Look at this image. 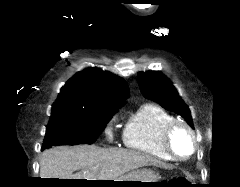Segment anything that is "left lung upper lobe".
<instances>
[{
	"label": "left lung upper lobe",
	"instance_id": "obj_1",
	"mask_svg": "<svg viewBox=\"0 0 240 187\" xmlns=\"http://www.w3.org/2000/svg\"><path fill=\"white\" fill-rule=\"evenodd\" d=\"M138 82L146 98L156 101L165 109L181 115L193 127L188 106L183 102L168 78L159 72H140Z\"/></svg>",
	"mask_w": 240,
	"mask_h": 187
}]
</instances>
